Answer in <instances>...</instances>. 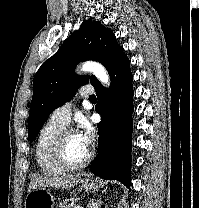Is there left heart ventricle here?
Segmentation results:
<instances>
[{
    "instance_id": "b2bd125f",
    "label": "left heart ventricle",
    "mask_w": 199,
    "mask_h": 208,
    "mask_svg": "<svg viewBox=\"0 0 199 208\" xmlns=\"http://www.w3.org/2000/svg\"><path fill=\"white\" fill-rule=\"evenodd\" d=\"M88 152L89 147L82 142L76 132L69 135L65 143V156L70 163L82 161Z\"/></svg>"
}]
</instances>
